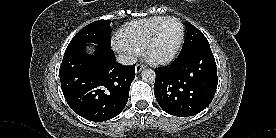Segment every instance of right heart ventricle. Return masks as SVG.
<instances>
[{
	"instance_id": "right-heart-ventricle-1",
	"label": "right heart ventricle",
	"mask_w": 276,
	"mask_h": 138,
	"mask_svg": "<svg viewBox=\"0 0 276 138\" xmlns=\"http://www.w3.org/2000/svg\"><path fill=\"white\" fill-rule=\"evenodd\" d=\"M165 16L136 20L126 24L118 33L117 40L136 50L144 49L152 31Z\"/></svg>"
}]
</instances>
